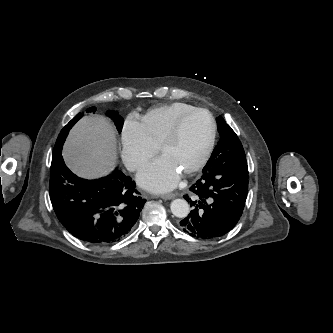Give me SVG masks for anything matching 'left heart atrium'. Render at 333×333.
I'll return each mask as SVG.
<instances>
[{
    "label": "left heart atrium",
    "instance_id": "left-heart-atrium-1",
    "mask_svg": "<svg viewBox=\"0 0 333 333\" xmlns=\"http://www.w3.org/2000/svg\"><path fill=\"white\" fill-rule=\"evenodd\" d=\"M181 172L166 157L146 165L138 174L139 184L153 192L163 193L176 187Z\"/></svg>",
    "mask_w": 333,
    "mask_h": 333
}]
</instances>
